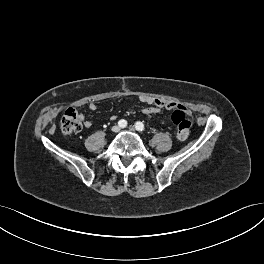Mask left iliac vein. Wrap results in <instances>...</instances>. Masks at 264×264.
Returning a JSON list of instances; mask_svg holds the SVG:
<instances>
[{
	"label": "left iliac vein",
	"mask_w": 264,
	"mask_h": 264,
	"mask_svg": "<svg viewBox=\"0 0 264 264\" xmlns=\"http://www.w3.org/2000/svg\"><path fill=\"white\" fill-rule=\"evenodd\" d=\"M128 130L131 131V132H135V128L132 127V126H130V127L128 128Z\"/></svg>",
	"instance_id": "4c4485c4"
}]
</instances>
